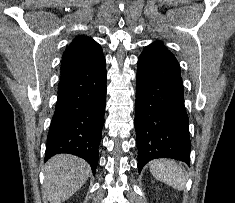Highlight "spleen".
I'll return each mask as SVG.
<instances>
[{
  "instance_id": "3e777b00",
  "label": "spleen",
  "mask_w": 235,
  "mask_h": 203,
  "mask_svg": "<svg viewBox=\"0 0 235 203\" xmlns=\"http://www.w3.org/2000/svg\"><path fill=\"white\" fill-rule=\"evenodd\" d=\"M150 172L157 180L177 189L184 190L186 176L181 166L169 159L153 160L149 164Z\"/></svg>"
}]
</instances>
